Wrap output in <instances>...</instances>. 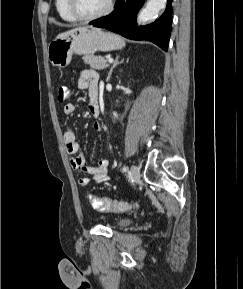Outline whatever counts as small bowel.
<instances>
[{
  "label": "small bowel",
  "instance_id": "c3829d8e",
  "mask_svg": "<svg viewBox=\"0 0 243 289\" xmlns=\"http://www.w3.org/2000/svg\"><path fill=\"white\" fill-rule=\"evenodd\" d=\"M78 87L88 91L90 97L88 109L90 114L94 118H97L100 115V107L97 102L99 88V77L97 72L93 69L82 70L78 79ZM75 110L76 106L73 103H69L64 107V113L66 115L74 114ZM93 127L97 131L101 130L100 125L96 122L93 124ZM63 139L66 152L70 155V164L73 169L89 174L96 184L108 180V160L101 159L94 166H86L85 157L82 153L80 144L76 140L75 132L70 129L65 131ZM90 182L91 179L87 176L78 179V185L80 187H86Z\"/></svg>",
  "mask_w": 243,
  "mask_h": 289
}]
</instances>
